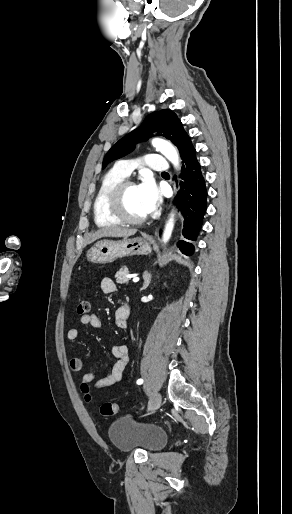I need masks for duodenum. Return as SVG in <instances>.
<instances>
[{
	"label": "duodenum",
	"mask_w": 292,
	"mask_h": 514,
	"mask_svg": "<svg viewBox=\"0 0 292 514\" xmlns=\"http://www.w3.org/2000/svg\"><path fill=\"white\" fill-rule=\"evenodd\" d=\"M124 307H125V309L127 310L128 315H130V306H129V305H127V304H125V305H124Z\"/></svg>",
	"instance_id": "duodenum-1"
}]
</instances>
